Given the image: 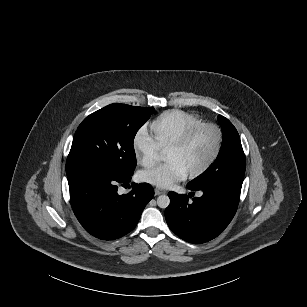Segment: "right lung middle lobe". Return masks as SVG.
<instances>
[{
    "label": "right lung middle lobe",
    "mask_w": 307,
    "mask_h": 307,
    "mask_svg": "<svg viewBox=\"0 0 307 307\" xmlns=\"http://www.w3.org/2000/svg\"><path fill=\"white\" fill-rule=\"evenodd\" d=\"M153 111L150 107L111 104L85 118L74 135L66 162L67 177L92 171L131 176L137 163L134 137Z\"/></svg>",
    "instance_id": "obj_1"
}]
</instances>
